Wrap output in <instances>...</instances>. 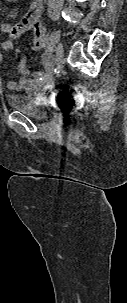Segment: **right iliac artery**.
<instances>
[{"instance_id": "1", "label": "right iliac artery", "mask_w": 127, "mask_h": 303, "mask_svg": "<svg viewBox=\"0 0 127 303\" xmlns=\"http://www.w3.org/2000/svg\"><path fill=\"white\" fill-rule=\"evenodd\" d=\"M48 49H49L50 52H54V51H55V46H54V44H53V43H49V44H48Z\"/></svg>"}]
</instances>
